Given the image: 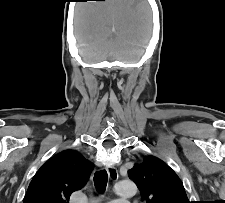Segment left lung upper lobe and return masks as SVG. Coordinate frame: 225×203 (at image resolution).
I'll use <instances>...</instances> for the list:
<instances>
[{"instance_id":"left-lung-upper-lobe-1","label":"left lung upper lobe","mask_w":225,"mask_h":203,"mask_svg":"<svg viewBox=\"0 0 225 203\" xmlns=\"http://www.w3.org/2000/svg\"><path fill=\"white\" fill-rule=\"evenodd\" d=\"M146 203H190L176 173L162 160L148 156L129 171Z\"/></svg>"}]
</instances>
